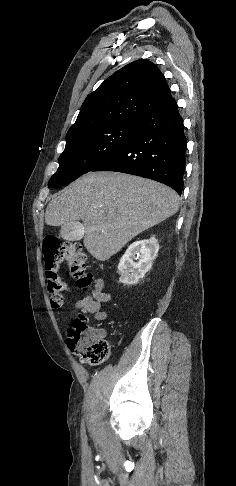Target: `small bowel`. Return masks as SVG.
Wrapping results in <instances>:
<instances>
[{"mask_svg":"<svg viewBox=\"0 0 236 486\" xmlns=\"http://www.w3.org/2000/svg\"><path fill=\"white\" fill-rule=\"evenodd\" d=\"M112 295L104 290V282L97 279L93 290L76 302V309L82 314H92L97 321H104L108 318L109 312L102 310V304L110 302ZM104 336L105 331L100 330Z\"/></svg>","mask_w":236,"mask_h":486,"instance_id":"small-bowel-1","label":"small bowel"}]
</instances>
